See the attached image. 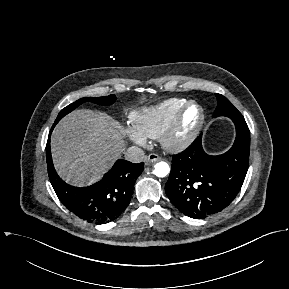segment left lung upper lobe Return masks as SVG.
I'll use <instances>...</instances> for the list:
<instances>
[{
    "instance_id": "obj_1",
    "label": "left lung upper lobe",
    "mask_w": 289,
    "mask_h": 289,
    "mask_svg": "<svg viewBox=\"0 0 289 289\" xmlns=\"http://www.w3.org/2000/svg\"><path fill=\"white\" fill-rule=\"evenodd\" d=\"M216 98L218 101L217 108L213 114V117L218 116H227L231 118L233 121H244L245 119L241 115V113L232 105V103L225 98L223 95L216 94Z\"/></svg>"
}]
</instances>
